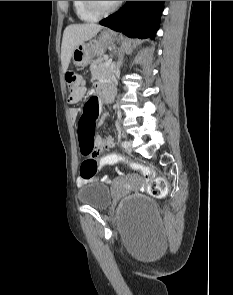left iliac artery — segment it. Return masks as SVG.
<instances>
[{
	"label": "left iliac artery",
	"instance_id": "left-iliac-artery-1",
	"mask_svg": "<svg viewBox=\"0 0 233 295\" xmlns=\"http://www.w3.org/2000/svg\"><path fill=\"white\" fill-rule=\"evenodd\" d=\"M128 143H129V142H128L127 140H123V141H122V144H123V145H127Z\"/></svg>",
	"mask_w": 233,
	"mask_h": 295
}]
</instances>
